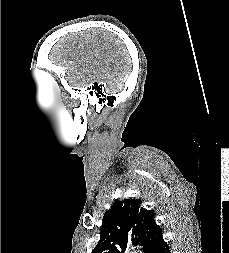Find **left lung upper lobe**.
Returning <instances> with one entry per match:
<instances>
[{"label":"left lung upper lobe","mask_w":229,"mask_h":253,"mask_svg":"<svg viewBox=\"0 0 229 253\" xmlns=\"http://www.w3.org/2000/svg\"><path fill=\"white\" fill-rule=\"evenodd\" d=\"M137 199L115 201L103 217L100 240L92 253H124L131 239L140 243L145 253H152L163 239L161 228L155 223L154 213Z\"/></svg>","instance_id":"left-lung-upper-lobe-1"}]
</instances>
